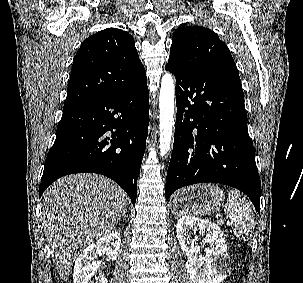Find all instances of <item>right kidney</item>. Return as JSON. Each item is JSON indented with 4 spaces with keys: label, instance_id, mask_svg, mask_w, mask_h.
<instances>
[{
    "label": "right kidney",
    "instance_id": "1",
    "mask_svg": "<svg viewBox=\"0 0 303 283\" xmlns=\"http://www.w3.org/2000/svg\"><path fill=\"white\" fill-rule=\"evenodd\" d=\"M120 244V234L118 232H112L86 247L75 261L73 272L74 283H94L92 277L97 269V264L93 260L96 259L98 255L104 253L107 255V260H116ZM95 283H108L104 273H99V277L95 278Z\"/></svg>",
    "mask_w": 303,
    "mask_h": 283
}]
</instances>
